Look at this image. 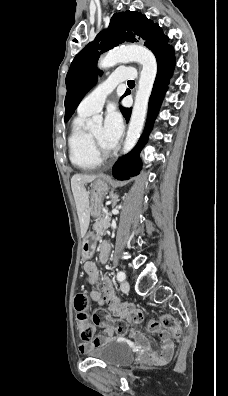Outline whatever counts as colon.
I'll use <instances>...</instances> for the list:
<instances>
[{"mask_svg": "<svg viewBox=\"0 0 228 396\" xmlns=\"http://www.w3.org/2000/svg\"><path fill=\"white\" fill-rule=\"evenodd\" d=\"M89 300L87 296L80 293L75 298V308L78 311L77 323L80 328L81 337L83 340H89L94 332V325L106 326L112 328L117 335H124L128 331V326L124 320H114L109 313L104 309H98L93 314V324L89 321L83 311L88 307ZM149 330L155 333L161 331L163 327L169 331L175 339H179L182 335V327L178 320L173 316L164 314L160 321L150 320L148 322Z\"/></svg>", "mask_w": 228, "mask_h": 396, "instance_id": "obj_1", "label": "colon"}]
</instances>
